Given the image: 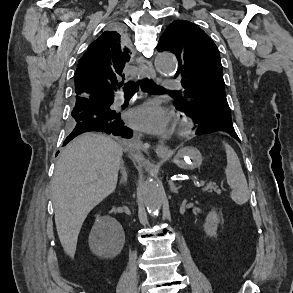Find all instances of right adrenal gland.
Wrapping results in <instances>:
<instances>
[{
  "mask_svg": "<svg viewBox=\"0 0 293 293\" xmlns=\"http://www.w3.org/2000/svg\"><path fill=\"white\" fill-rule=\"evenodd\" d=\"M120 170H121V174H122V177H121V179H120V182H119V184L121 185V184H126V182H127V171H126V168H125V166H124V162H122L121 163V166H120Z\"/></svg>",
  "mask_w": 293,
  "mask_h": 293,
  "instance_id": "1",
  "label": "right adrenal gland"
}]
</instances>
